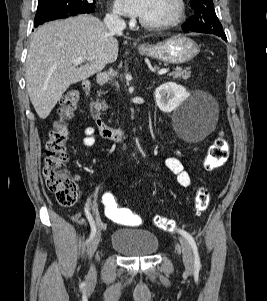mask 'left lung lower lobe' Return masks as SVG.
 Wrapping results in <instances>:
<instances>
[{"instance_id":"0a47b994","label":"left lung lower lobe","mask_w":267,"mask_h":301,"mask_svg":"<svg viewBox=\"0 0 267 301\" xmlns=\"http://www.w3.org/2000/svg\"><path fill=\"white\" fill-rule=\"evenodd\" d=\"M183 29H184L185 32L191 31V30H188V29H185V28H183ZM193 32H197V31H193ZM218 36L221 37L223 40L227 41L225 33L224 34H218Z\"/></svg>"}]
</instances>
